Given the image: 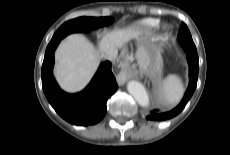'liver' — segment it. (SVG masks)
Returning a JSON list of instances; mask_svg holds the SVG:
<instances>
[{
    "label": "liver",
    "mask_w": 230,
    "mask_h": 155,
    "mask_svg": "<svg viewBox=\"0 0 230 155\" xmlns=\"http://www.w3.org/2000/svg\"><path fill=\"white\" fill-rule=\"evenodd\" d=\"M132 39H140L132 28L116 29L105 34L98 49L83 35L66 37L55 52L54 75L68 92L82 90L98 69L99 60L111 49H118Z\"/></svg>",
    "instance_id": "liver-1"
}]
</instances>
